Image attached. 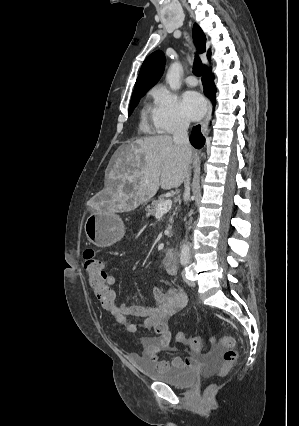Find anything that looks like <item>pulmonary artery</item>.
I'll return each mask as SVG.
<instances>
[{"label": "pulmonary artery", "instance_id": "e3ab8cb5", "mask_svg": "<svg viewBox=\"0 0 299 426\" xmlns=\"http://www.w3.org/2000/svg\"><path fill=\"white\" fill-rule=\"evenodd\" d=\"M186 83H187V85L188 86H196L197 85V83H198V81H197V79H196V77L195 76H193V75H189L187 78H186Z\"/></svg>", "mask_w": 299, "mask_h": 426}]
</instances>
